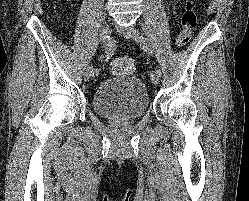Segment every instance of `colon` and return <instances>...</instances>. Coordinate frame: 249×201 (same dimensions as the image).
Masks as SVG:
<instances>
[{"instance_id": "1", "label": "colon", "mask_w": 249, "mask_h": 201, "mask_svg": "<svg viewBox=\"0 0 249 201\" xmlns=\"http://www.w3.org/2000/svg\"><path fill=\"white\" fill-rule=\"evenodd\" d=\"M197 24V14L192 0H185L181 13V31L176 44L179 47L187 45ZM135 70L134 61L129 57H118L110 63V71L113 74L129 76Z\"/></svg>"}]
</instances>
